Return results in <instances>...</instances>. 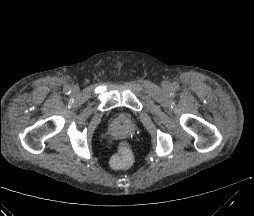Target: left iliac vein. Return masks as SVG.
<instances>
[{
    "instance_id": "4c4485c4",
    "label": "left iliac vein",
    "mask_w": 254,
    "mask_h": 216,
    "mask_svg": "<svg viewBox=\"0 0 254 216\" xmlns=\"http://www.w3.org/2000/svg\"><path fill=\"white\" fill-rule=\"evenodd\" d=\"M164 87H165V88H168V84H167V83H165V84H164Z\"/></svg>"
}]
</instances>
